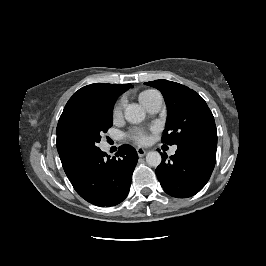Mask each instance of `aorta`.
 Here are the masks:
<instances>
[{"label":"aorta","mask_w":266,"mask_h":266,"mask_svg":"<svg viewBox=\"0 0 266 266\" xmlns=\"http://www.w3.org/2000/svg\"><path fill=\"white\" fill-rule=\"evenodd\" d=\"M124 115L125 119L128 122L137 124L144 120L146 113L141 105L133 103L126 107ZM161 160H162L161 155L157 151L148 152L146 155V162L150 166L153 167L159 166Z\"/></svg>","instance_id":"1"}]
</instances>
